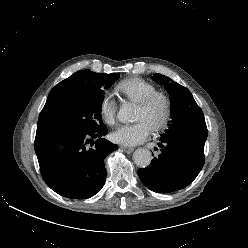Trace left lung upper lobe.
Instances as JSON below:
<instances>
[{
	"label": "left lung upper lobe",
	"mask_w": 248,
	"mask_h": 248,
	"mask_svg": "<svg viewBox=\"0 0 248 248\" xmlns=\"http://www.w3.org/2000/svg\"><path fill=\"white\" fill-rule=\"evenodd\" d=\"M152 79L165 87L172 101V118L160 140L183 137L204 145L207 126L203 112L190 91L161 74H155Z\"/></svg>",
	"instance_id": "5c2ea615"
}]
</instances>
